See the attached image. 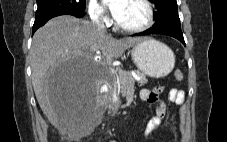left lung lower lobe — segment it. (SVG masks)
I'll return each mask as SVG.
<instances>
[{
    "instance_id": "0a47b994",
    "label": "left lung lower lobe",
    "mask_w": 227,
    "mask_h": 142,
    "mask_svg": "<svg viewBox=\"0 0 227 142\" xmlns=\"http://www.w3.org/2000/svg\"><path fill=\"white\" fill-rule=\"evenodd\" d=\"M149 34L169 35V36H172V37L178 39L185 45V41L183 38L181 28H177V27H173V26H153L144 32L135 34L134 36L149 35Z\"/></svg>"
}]
</instances>
